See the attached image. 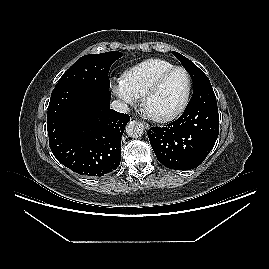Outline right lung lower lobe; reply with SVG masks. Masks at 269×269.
Returning <instances> with one entry per match:
<instances>
[{"mask_svg":"<svg viewBox=\"0 0 269 269\" xmlns=\"http://www.w3.org/2000/svg\"><path fill=\"white\" fill-rule=\"evenodd\" d=\"M109 89L65 84L53 89L47 112L49 145L64 166L101 177L121 160V137L128 114L110 109Z\"/></svg>","mask_w":269,"mask_h":269,"instance_id":"obj_1","label":"right lung lower lobe"}]
</instances>
